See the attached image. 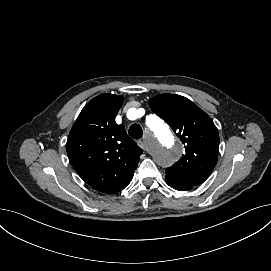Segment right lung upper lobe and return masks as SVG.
I'll use <instances>...</instances> for the list:
<instances>
[{
  "label": "right lung upper lobe",
  "mask_w": 271,
  "mask_h": 271,
  "mask_svg": "<svg viewBox=\"0 0 271 271\" xmlns=\"http://www.w3.org/2000/svg\"><path fill=\"white\" fill-rule=\"evenodd\" d=\"M123 98L100 94L79 114L68 136V158L78 175L107 194L123 190L131 181L143 150L115 122Z\"/></svg>",
  "instance_id": "right-lung-upper-lobe-1"
}]
</instances>
